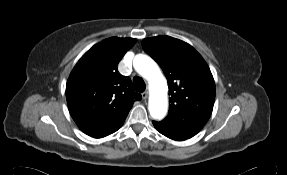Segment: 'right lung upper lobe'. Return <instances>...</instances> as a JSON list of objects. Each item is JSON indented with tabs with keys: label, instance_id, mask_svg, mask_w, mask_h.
<instances>
[{
	"label": "right lung upper lobe",
	"instance_id": "right-lung-upper-lobe-1",
	"mask_svg": "<svg viewBox=\"0 0 287 175\" xmlns=\"http://www.w3.org/2000/svg\"><path fill=\"white\" fill-rule=\"evenodd\" d=\"M135 43L133 38L105 39L88 50L73 68L66 84L67 104L85 134L102 138L114 133L123 125L134 101L141 100L132 89L131 79L117 69Z\"/></svg>",
	"mask_w": 287,
	"mask_h": 175
}]
</instances>
